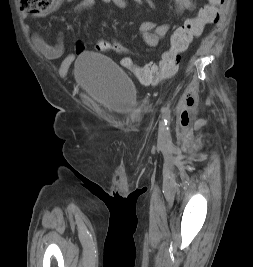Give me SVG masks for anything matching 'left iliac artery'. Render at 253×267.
<instances>
[{"label": "left iliac artery", "instance_id": "left-iliac-artery-1", "mask_svg": "<svg viewBox=\"0 0 253 267\" xmlns=\"http://www.w3.org/2000/svg\"><path fill=\"white\" fill-rule=\"evenodd\" d=\"M163 120L165 124L166 134L169 136L170 134V123H171V112L167 107H162L161 109Z\"/></svg>", "mask_w": 253, "mask_h": 267}]
</instances>
